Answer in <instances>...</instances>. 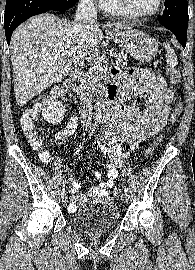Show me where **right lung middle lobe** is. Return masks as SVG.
<instances>
[{
  "label": "right lung middle lobe",
  "mask_w": 195,
  "mask_h": 270,
  "mask_svg": "<svg viewBox=\"0 0 195 270\" xmlns=\"http://www.w3.org/2000/svg\"><path fill=\"white\" fill-rule=\"evenodd\" d=\"M72 0H62V3L58 6V10L64 11L72 7V4L69 3Z\"/></svg>",
  "instance_id": "dd1d6c3e"
}]
</instances>
